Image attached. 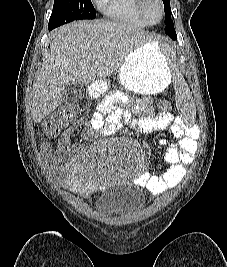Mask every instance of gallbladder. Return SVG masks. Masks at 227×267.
<instances>
[{"label": "gallbladder", "mask_w": 227, "mask_h": 267, "mask_svg": "<svg viewBox=\"0 0 227 267\" xmlns=\"http://www.w3.org/2000/svg\"><path fill=\"white\" fill-rule=\"evenodd\" d=\"M63 107L71 108L75 106L85 95V88L72 82L64 88Z\"/></svg>", "instance_id": "bac80fb5"}]
</instances>
